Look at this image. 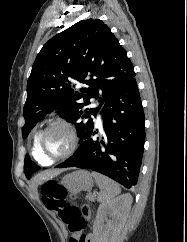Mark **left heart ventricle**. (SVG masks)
Returning <instances> with one entry per match:
<instances>
[{"label":"left heart ventricle","instance_id":"left-heart-ventricle-1","mask_svg":"<svg viewBox=\"0 0 187 242\" xmlns=\"http://www.w3.org/2000/svg\"><path fill=\"white\" fill-rule=\"evenodd\" d=\"M68 146V132L61 127L51 129L43 140V149L45 153L50 156H56L64 153Z\"/></svg>","mask_w":187,"mask_h":242}]
</instances>
